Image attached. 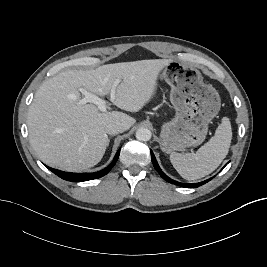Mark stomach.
<instances>
[{
  "instance_id": "obj_1",
  "label": "stomach",
  "mask_w": 267,
  "mask_h": 267,
  "mask_svg": "<svg viewBox=\"0 0 267 267\" xmlns=\"http://www.w3.org/2000/svg\"><path fill=\"white\" fill-rule=\"evenodd\" d=\"M161 78L171 87L170 101L176 112L171 121L162 125V151L175 153L200 145L206 138L208 123L220 110L218 92L204 83L197 68L176 60L164 66Z\"/></svg>"
}]
</instances>
